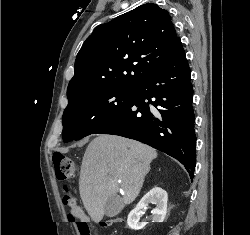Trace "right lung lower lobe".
Returning <instances> with one entry per match:
<instances>
[{
  "mask_svg": "<svg viewBox=\"0 0 250 235\" xmlns=\"http://www.w3.org/2000/svg\"><path fill=\"white\" fill-rule=\"evenodd\" d=\"M191 72L181 41L161 68L144 78L129 102L94 133L143 142L179 160L193 178L196 135Z\"/></svg>",
  "mask_w": 250,
  "mask_h": 235,
  "instance_id": "right-lung-lower-lobe-1",
  "label": "right lung lower lobe"
}]
</instances>
